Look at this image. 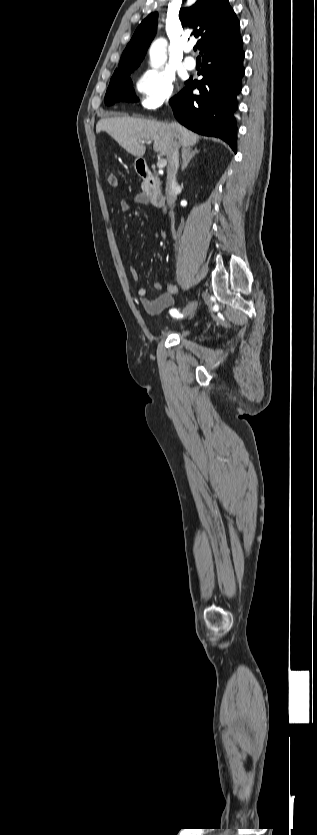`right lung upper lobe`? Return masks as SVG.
Wrapping results in <instances>:
<instances>
[{
	"label": "right lung upper lobe",
	"instance_id": "obj_1",
	"mask_svg": "<svg viewBox=\"0 0 317 835\" xmlns=\"http://www.w3.org/2000/svg\"><path fill=\"white\" fill-rule=\"evenodd\" d=\"M158 13H151L137 27L126 46L118 71L136 69L155 36ZM180 20L190 29L202 53L215 43L231 40L240 35V23L228 0H197L195 5L180 11ZM199 27V29H197Z\"/></svg>",
	"mask_w": 317,
	"mask_h": 835
}]
</instances>
